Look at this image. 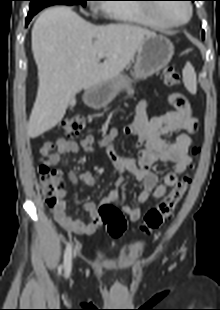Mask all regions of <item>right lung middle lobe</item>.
Masks as SVG:
<instances>
[{"mask_svg":"<svg viewBox=\"0 0 220 310\" xmlns=\"http://www.w3.org/2000/svg\"><path fill=\"white\" fill-rule=\"evenodd\" d=\"M30 1L31 3L29 12L38 13L43 8L55 4H65V5L81 4L85 6L87 0H30Z\"/></svg>","mask_w":220,"mask_h":310,"instance_id":"1","label":"right lung middle lobe"}]
</instances>
